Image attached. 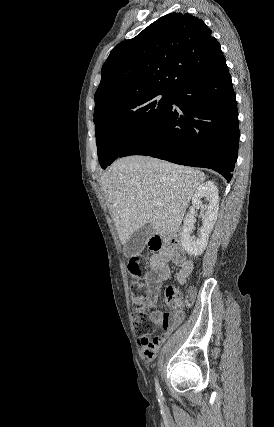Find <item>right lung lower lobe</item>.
I'll use <instances>...</instances> for the list:
<instances>
[{"mask_svg":"<svg viewBox=\"0 0 274 427\" xmlns=\"http://www.w3.org/2000/svg\"><path fill=\"white\" fill-rule=\"evenodd\" d=\"M238 142L236 98L225 65L175 91L163 119L119 157L149 155L176 164L209 168L229 182Z\"/></svg>","mask_w":274,"mask_h":427,"instance_id":"obj_1","label":"right lung lower lobe"}]
</instances>
